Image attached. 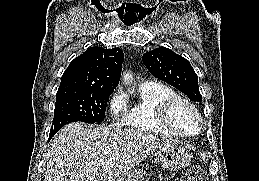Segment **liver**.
<instances>
[{"label": "liver", "instance_id": "liver-1", "mask_svg": "<svg viewBox=\"0 0 259 181\" xmlns=\"http://www.w3.org/2000/svg\"><path fill=\"white\" fill-rule=\"evenodd\" d=\"M171 144L136 130L68 124L51 141L44 181H113Z\"/></svg>", "mask_w": 259, "mask_h": 181}]
</instances>
